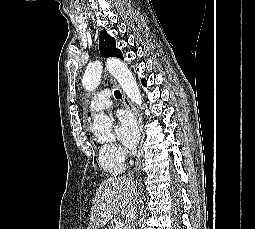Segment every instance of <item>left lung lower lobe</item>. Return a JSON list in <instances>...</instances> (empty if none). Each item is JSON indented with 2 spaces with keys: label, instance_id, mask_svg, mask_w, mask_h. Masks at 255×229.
<instances>
[{
  "label": "left lung lower lobe",
  "instance_id": "left-lung-lower-lobe-1",
  "mask_svg": "<svg viewBox=\"0 0 255 229\" xmlns=\"http://www.w3.org/2000/svg\"><path fill=\"white\" fill-rule=\"evenodd\" d=\"M142 82H143L144 85H146V83H147L145 80H143Z\"/></svg>",
  "mask_w": 255,
  "mask_h": 229
}]
</instances>
